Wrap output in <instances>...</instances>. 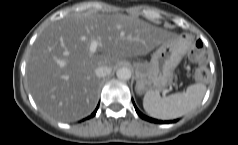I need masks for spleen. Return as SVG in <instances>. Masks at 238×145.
Masks as SVG:
<instances>
[{
	"label": "spleen",
	"instance_id": "1",
	"mask_svg": "<svg viewBox=\"0 0 238 145\" xmlns=\"http://www.w3.org/2000/svg\"><path fill=\"white\" fill-rule=\"evenodd\" d=\"M206 86L193 84L181 93L161 97L158 92L148 91L143 98L144 110L157 119L168 120L181 117L195 109L202 101Z\"/></svg>",
	"mask_w": 238,
	"mask_h": 145
}]
</instances>
